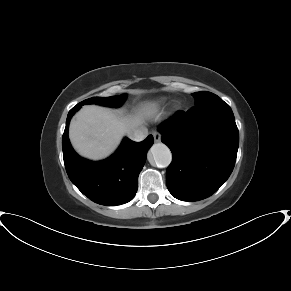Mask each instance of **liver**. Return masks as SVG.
<instances>
[{"mask_svg": "<svg viewBox=\"0 0 291 291\" xmlns=\"http://www.w3.org/2000/svg\"><path fill=\"white\" fill-rule=\"evenodd\" d=\"M152 113L151 108L144 107L134 115L120 117L110 109L87 105L72 119L69 138L81 156L100 160L116 149L123 135L142 126Z\"/></svg>", "mask_w": 291, "mask_h": 291, "instance_id": "1", "label": "liver"}]
</instances>
